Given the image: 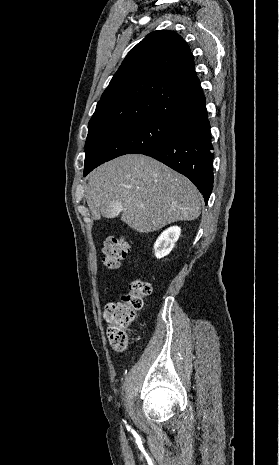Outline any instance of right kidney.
I'll return each instance as SVG.
<instances>
[{
	"mask_svg": "<svg viewBox=\"0 0 279 465\" xmlns=\"http://www.w3.org/2000/svg\"><path fill=\"white\" fill-rule=\"evenodd\" d=\"M180 233L181 228L178 226L164 230L154 244L155 256L160 259L168 255L179 239Z\"/></svg>",
	"mask_w": 279,
	"mask_h": 465,
	"instance_id": "right-kidney-1",
	"label": "right kidney"
}]
</instances>
